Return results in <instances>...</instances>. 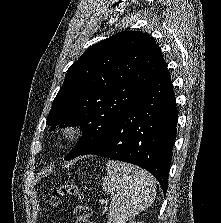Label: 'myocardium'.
<instances>
[{"label":"myocardium","instance_id":"1","mask_svg":"<svg viewBox=\"0 0 221 223\" xmlns=\"http://www.w3.org/2000/svg\"><path fill=\"white\" fill-rule=\"evenodd\" d=\"M84 125L76 120L66 122L58 132L59 139L64 144H76L85 136Z\"/></svg>","mask_w":221,"mask_h":223}]
</instances>
